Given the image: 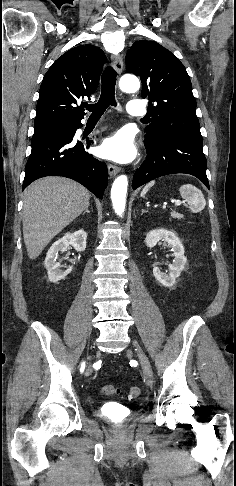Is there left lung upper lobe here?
<instances>
[{
  "label": "left lung upper lobe",
  "instance_id": "1",
  "mask_svg": "<svg viewBox=\"0 0 236 486\" xmlns=\"http://www.w3.org/2000/svg\"><path fill=\"white\" fill-rule=\"evenodd\" d=\"M126 69L140 76L141 95L149 98L145 141L171 134L202 139L191 81L174 54L155 41H136L127 52Z\"/></svg>",
  "mask_w": 236,
  "mask_h": 486
}]
</instances>
